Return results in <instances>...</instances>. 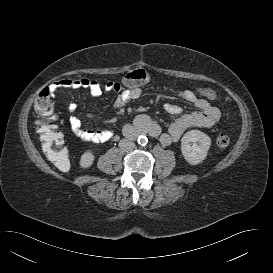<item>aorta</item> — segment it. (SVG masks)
Masks as SVG:
<instances>
[{"mask_svg":"<svg viewBox=\"0 0 273 273\" xmlns=\"http://www.w3.org/2000/svg\"><path fill=\"white\" fill-rule=\"evenodd\" d=\"M138 143L145 145L147 143V138L145 136H139L138 137Z\"/></svg>","mask_w":273,"mask_h":273,"instance_id":"762f6f07","label":"aorta"}]
</instances>
